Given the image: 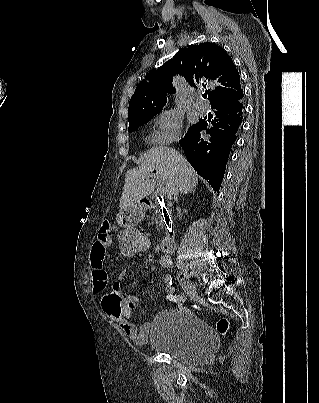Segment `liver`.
<instances>
[{
	"label": "liver",
	"mask_w": 319,
	"mask_h": 403,
	"mask_svg": "<svg viewBox=\"0 0 319 403\" xmlns=\"http://www.w3.org/2000/svg\"><path fill=\"white\" fill-rule=\"evenodd\" d=\"M153 171L164 181L168 196L174 188L185 193L198 184L197 173L179 152L163 146L153 147L145 153L142 164L127 171L119 204L121 210L134 206L154 191L156 180L149 179Z\"/></svg>",
	"instance_id": "obj_1"
}]
</instances>
